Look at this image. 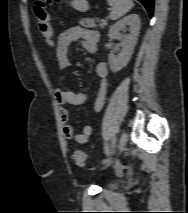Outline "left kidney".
<instances>
[{"label": "left kidney", "instance_id": "1", "mask_svg": "<svg viewBox=\"0 0 188 213\" xmlns=\"http://www.w3.org/2000/svg\"><path fill=\"white\" fill-rule=\"evenodd\" d=\"M129 27L130 33L122 35L121 30ZM140 31V18L137 14H130L121 20L114 23L110 29L108 36L110 39H116L120 41L122 47L121 52L115 56L113 54L108 55V63L112 72H118L123 69L130 61L131 55L137 43L138 35ZM107 49L111 48L110 44H106Z\"/></svg>", "mask_w": 188, "mask_h": 213}]
</instances>
